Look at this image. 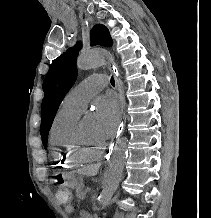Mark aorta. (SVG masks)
I'll use <instances>...</instances> for the list:
<instances>
[{
    "label": "aorta",
    "mask_w": 211,
    "mask_h": 218,
    "mask_svg": "<svg viewBox=\"0 0 211 218\" xmlns=\"http://www.w3.org/2000/svg\"><path fill=\"white\" fill-rule=\"evenodd\" d=\"M107 59L113 60L112 56L103 50L94 49L83 52L78 57L77 68L79 70L96 68L101 66ZM90 121L91 116H86L85 122ZM127 143L128 140L125 137L120 138L110 155L108 168L102 181V192L98 199L101 205H107L118 188L127 157Z\"/></svg>",
    "instance_id": "1"
}]
</instances>
